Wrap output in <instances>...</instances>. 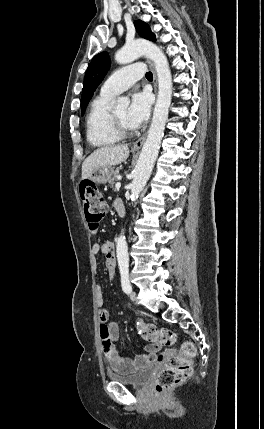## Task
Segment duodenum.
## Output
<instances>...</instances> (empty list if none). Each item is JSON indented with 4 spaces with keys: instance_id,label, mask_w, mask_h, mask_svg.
Instances as JSON below:
<instances>
[{
    "instance_id": "1",
    "label": "duodenum",
    "mask_w": 264,
    "mask_h": 429,
    "mask_svg": "<svg viewBox=\"0 0 264 429\" xmlns=\"http://www.w3.org/2000/svg\"><path fill=\"white\" fill-rule=\"evenodd\" d=\"M115 209H116L117 214H118L120 217L124 216V215H125V213H126V210H125V207H124L123 203H118V204L115 206ZM113 260H114V261L116 260V258H115V253H114V255H113Z\"/></svg>"
}]
</instances>
